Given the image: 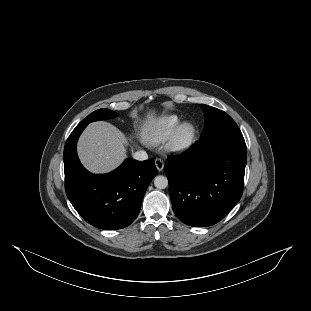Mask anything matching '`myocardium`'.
<instances>
[{
	"label": "myocardium",
	"mask_w": 311,
	"mask_h": 311,
	"mask_svg": "<svg viewBox=\"0 0 311 311\" xmlns=\"http://www.w3.org/2000/svg\"><path fill=\"white\" fill-rule=\"evenodd\" d=\"M197 130L194 124L185 122L178 126L172 135L170 148L177 153L188 151L194 144Z\"/></svg>",
	"instance_id": "f54148a6"
}]
</instances>
